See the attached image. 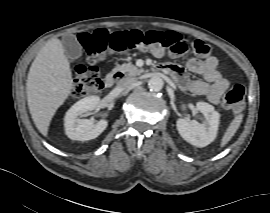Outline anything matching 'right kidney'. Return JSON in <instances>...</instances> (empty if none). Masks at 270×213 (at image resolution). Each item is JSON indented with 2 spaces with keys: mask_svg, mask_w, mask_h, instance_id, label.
I'll return each mask as SVG.
<instances>
[{
  "mask_svg": "<svg viewBox=\"0 0 270 213\" xmlns=\"http://www.w3.org/2000/svg\"><path fill=\"white\" fill-rule=\"evenodd\" d=\"M100 98L89 96L76 102L64 118L65 133L71 140L87 141L97 138L106 128L108 122L100 120L94 124L93 119H81L87 111L94 110Z\"/></svg>",
  "mask_w": 270,
  "mask_h": 213,
  "instance_id": "ca27d5eb",
  "label": "right kidney"
}]
</instances>
